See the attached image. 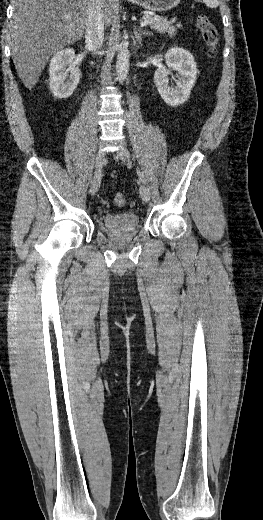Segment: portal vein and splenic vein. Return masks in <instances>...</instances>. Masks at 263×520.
Returning <instances> with one entry per match:
<instances>
[{"label":"portal vein and splenic vein","instance_id":"obj_1","mask_svg":"<svg viewBox=\"0 0 263 520\" xmlns=\"http://www.w3.org/2000/svg\"><path fill=\"white\" fill-rule=\"evenodd\" d=\"M65 18H66V19H70V16L66 15ZM149 23H150L149 20H145V21H142V22L140 23V26L143 27V26L148 25Z\"/></svg>","mask_w":263,"mask_h":520}]
</instances>
